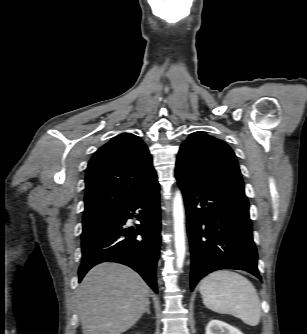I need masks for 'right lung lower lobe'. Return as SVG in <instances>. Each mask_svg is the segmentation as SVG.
Here are the masks:
<instances>
[{"label": "right lung lower lobe", "instance_id": "1", "mask_svg": "<svg viewBox=\"0 0 307 334\" xmlns=\"http://www.w3.org/2000/svg\"><path fill=\"white\" fill-rule=\"evenodd\" d=\"M138 211L141 222L130 232L125 224ZM159 184L138 195L125 207L112 214L104 225L82 239V262L79 282L96 264L117 262L137 271L157 292L156 267L160 251ZM141 235V239H136Z\"/></svg>", "mask_w": 307, "mask_h": 334}]
</instances>
